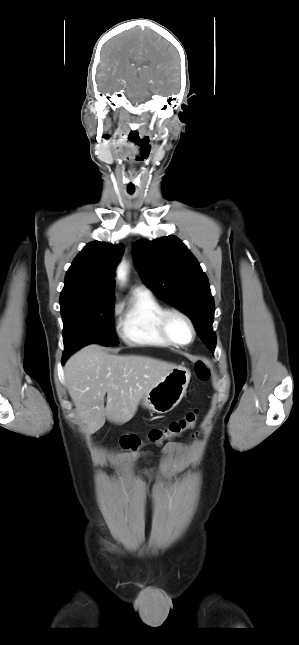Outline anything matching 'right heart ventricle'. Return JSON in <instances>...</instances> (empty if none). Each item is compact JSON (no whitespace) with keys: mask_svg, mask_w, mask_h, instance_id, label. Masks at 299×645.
I'll list each match as a JSON object with an SVG mask.
<instances>
[{"mask_svg":"<svg viewBox=\"0 0 299 645\" xmlns=\"http://www.w3.org/2000/svg\"><path fill=\"white\" fill-rule=\"evenodd\" d=\"M165 309L151 292L133 291L119 309L118 331L123 341L137 346H171L159 331V318Z\"/></svg>","mask_w":299,"mask_h":645,"instance_id":"right-heart-ventricle-1","label":"right heart ventricle"}]
</instances>
